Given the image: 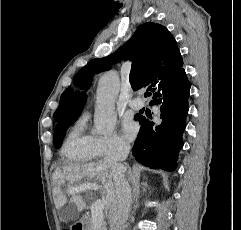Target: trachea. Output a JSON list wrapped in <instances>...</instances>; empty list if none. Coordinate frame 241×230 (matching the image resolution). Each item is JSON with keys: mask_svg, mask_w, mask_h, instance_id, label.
I'll return each instance as SVG.
<instances>
[{"mask_svg": "<svg viewBox=\"0 0 241 230\" xmlns=\"http://www.w3.org/2000/svg\"><path fill=\"white\" fill-rule=\"evenodd\" d=\"M150 93L149 92H145L144 96H149Z\"/></svg>", "mask_w": 241, "mask_h": 230, "instance_id": "trachea-1", "label": "trachea"}]
</instances>
